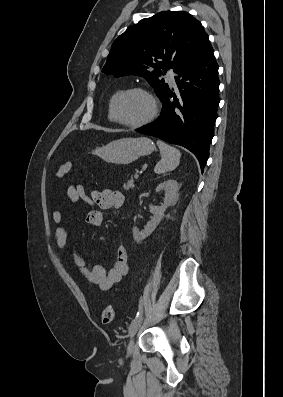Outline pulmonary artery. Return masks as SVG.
Masks as SVG:
<instances>
[{
    "mask_svg": "<svg viewBox=\"0 0 283 397\" xmlns=\"http://www.w3.org/2000/svg\"><path fill=\"white\" fill-rule=\"evenodd\" d=\"M171 85L175 86L176 85V81H175V73L173 71H169L167 74Z\"/></svg>",
    "mask_w": 283,
    "mask_h": 397,
    "instance_id": "pulmonary-artery-1",
    "label": "pulmonary artery"
}]
</instances>
